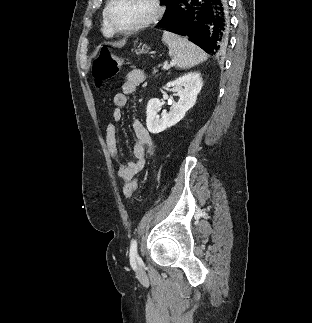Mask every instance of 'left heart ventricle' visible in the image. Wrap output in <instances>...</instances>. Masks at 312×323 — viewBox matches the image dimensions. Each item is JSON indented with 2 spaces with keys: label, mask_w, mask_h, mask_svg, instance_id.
Segmentation results:
<instances>
[{
  "label": "left heart ventricle",
  "mask_w": 312,
  "mask_h": 323,
  "mask_svg": "<svg viewBox=\"0 0 312 323\" xmlns=\"http://www.w3.org/2000/svg\"><path fill=\"white\" fill-rule=\"evenodd\" d=\"M153 8L149 0H117L111 7V18H148Z\"/></svg>",
  "instance_id": "obj_1"
}]
</instances>
